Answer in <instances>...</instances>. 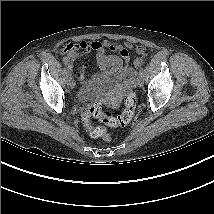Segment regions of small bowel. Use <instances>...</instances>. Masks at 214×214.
<instances>
[{"label": "small bowel", "instance_id": "small-bowel-1", "mask_svg": "<svg viewBox=\"0 0 214 214\" xmlns=\"http://www.w3.org/2000/svg\"><path fill=\"white\" fill-rule=\"evenodd\" d=\"M126 48H133L131 43L125 44ZM68 52L70 54H75L79 50L85 51H94L96 53L97 64L100 68L101 72H108V71H118L122 72V64L121 59L118 56L107 55L106 50H114L120 51L122 58L124 59L125 63H128L129 57L127 51L122 49L119 45L112 43L110 41H80L78 43L71 44L68 48ZM87 64H83L79 67V72L82 75L87 68ZM129 85L124 87L123 92H127L129 89ZM118 97L114 98V101H117Z\"/></svg>", "mask_w": 214, "mask_h": 214}]
</instances>
